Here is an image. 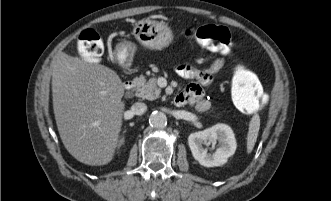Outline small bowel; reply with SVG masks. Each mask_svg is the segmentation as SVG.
Returning <instances> with one entry per match:
<instances>
[{"label": "small bowel", "mask_w": 331, "mask_h": 201, "mask_svg": "<svg viewBox=\"0 0 331 201\" xmlns=\"http://www.w3.org/2000/svg\"><path fill=\"white\" fill-rule=\"evenodd\" d=\"M224 65V59H216L206 69H196L188 65H180L177 67V73L184 78L194 79L197 82L189 84L177 97L180 105L186 103H196L203 95V87L212 81L213 75L218 72Z\"/></svg>", "instance_id": "1"}]
</instances>
